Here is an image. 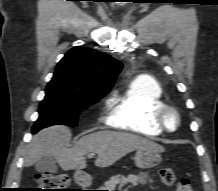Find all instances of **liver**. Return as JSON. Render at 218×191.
Masks as SVG:
<instances>
[{
  "instance_id": "obj_1",
  "label": "liver",
  "mask_w": 218,
  "mask_h": 191,
  "mask_svg": "<svg viewBox=\"0 0 218 191\" xmlns=\"http://www.w3.org/2000/svg\"><path fill=\"white\" fill-rule=\"evenodd\" d=\"M71 131L64 125L41 130L27 147L24 166H32L45 155L54 157L63 170H80L86 167L85 155L97 154V167L113 165L126 154L135 150L163 152L164 148L141 136L102 130L83 136L70 147Z\"/></svg>"
}]
</instances>
